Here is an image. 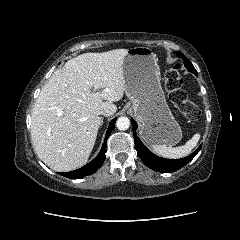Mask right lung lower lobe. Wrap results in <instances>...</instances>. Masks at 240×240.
<instances>
[{
	"instance_id": "1",
	"label": "right lung lower lobe",
	"mask_w": 240,
	"mask_h": 240,
	"mask_svg": "<svg viewBox=\"0 0 240 240\" xmlns=\"http://www.w3.org/2000/svg\"><path fill=\"white\" fill-rule=\"evenodd\" d=\"M115 123H116V118H114L110 122L108 130L106 132L105 139H104L105 143L103 144L99 154L97 155V157L95 159H93L91 162H89L88 164H86L85 166H83L80 169H77V170H74L71 172H67V173H60V174L65 177L71 178V179H79L84 176L95 173L101 167V165L103 164V162L105 160L106 142H107L109 135L111 134V132L113 131V129L115 127Z\"/></svg>"
}]
</instances>
